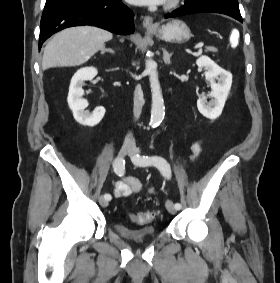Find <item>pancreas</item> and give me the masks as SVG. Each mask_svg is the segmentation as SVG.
Segmentation results:
<instances>
[{"label":"pancreas","instance_id":"cf45deb5","mask_svg":"<svg viewBox=\"0 0 280 283\" xmlns=\"http://www.w3.org/2000/svg\"><path fill=\"white\" fill-rule=\"evenodd\" d=\"M205 52H217V49L215 47H206Z\"/></svg>","mask_w":280,"mask_h":283}]
</instances>
